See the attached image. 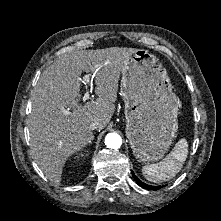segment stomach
Here are the masks:
<instances>
[{
	"label": "stomach",
	"mask_w": 221,
	"mask_h": 221,
	"mask_svg": "<svg viewBox=\"0 0 221 221\" xmlns=\"http://www.w3.org/2000/svg\"><path fill=\"white\" fill-rule=\"evenodd\" d=\"M121 73L126 135L133 154L144 163L160 160L178 130L179 103L170 77L159 59L144 49L125 62Z\"/></svg>",
	"instance_id": "0dacf381"
}]
</instances>
